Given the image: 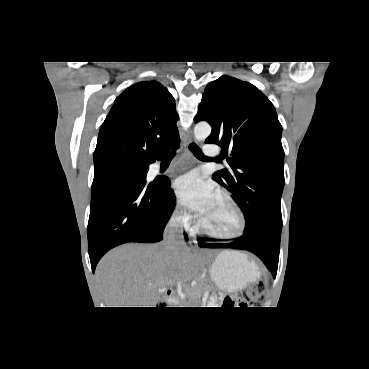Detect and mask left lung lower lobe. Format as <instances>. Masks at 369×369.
<instances>
[{
    "label": "left lung lower lobe",
    "instance_id": "left-lung-lower-lobe-1",
    "mask_svg": "<svg viewBox=\"0 0 369 369\" xmlns=\"http://www.w3.org/2000/svg\"><path fill=\"white\" fill-rule=\"evenodd\" d=\"M281 228L282 226L278 227L267 224L252 233H244L243 236L232 243H199V246L204 248H233L248 250L264 262L275 278L279 259Z\"/></svg>",
    "mask_w": 369,
    "mask_h": 369
}]
</instances>
